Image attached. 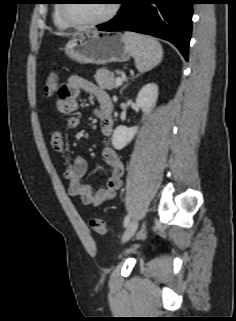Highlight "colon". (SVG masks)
Here are the masks:
<instances>
[{"mask_svg": "<svg viewBox=\"0 0 236 321\" xmlns=\"http://www.w3.org/2000/svg\"><path fill=\"white\" fill-rule=\"evenodd\" d=\"M58 85V77L55 73H51L44 84V94L46 96H52ZM90 226L92 230L97 233L98 235L105 236L109 233V229L107 227V224L102 219H91L90 220Z\"/></svg>", "mask_w": 236, "mask_h": 321, "instance_id": "5ec220e1", "label": "colon"}]
</instances>
